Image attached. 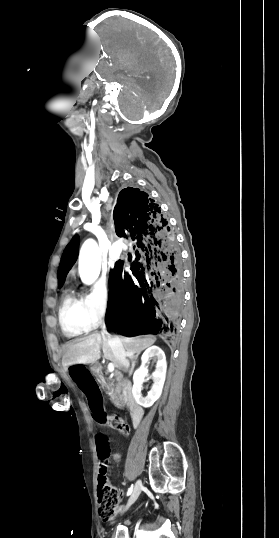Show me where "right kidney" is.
Masks as SVG:
<instances>
[{
  "mask_svg": "<svg viewBox=\"0 0 279 538\" xmlns=\"http://www.w3.org/2000/svg\"><path fill=\"white\" fill-rule=\"evenodd\" d=\"M152 358H154V360H157L156 370L152 374V380L154 384L153 386H151V390L150 392H148V396H146V398H143L141 394L142 384L144 378L148 376L146 364H148L149 360H152ZM141 362L142 364L139 370H136V372H134V386L132 388V394L139 406H143V408H150V406H153L154 402H156V400H158V398H160L162 394V388L164 386L166 378V358L161 348H158V346H151V348H148V350H145L144 354H142Z\"/></svg>",
  "mask_w": 279,
  "mask_h": 538,
  "instance_id": "obj_1",
  "label": "right kidney"
}]
</instances>
